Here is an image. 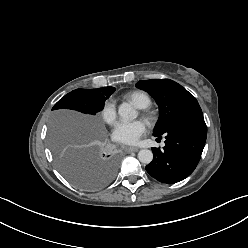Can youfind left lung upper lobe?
<instances>
[{
	"instance_id": "5c2ea615",
	"label": "left lung upper lobe",
	"mask_w": 248,
	"mask_h": 248,
	"mask_svg": "<svg viewBox=\"0 0 248 248\" xmlns=\"http://www.w3.org/2000/svg\"><path fill=\"white\" fill-rule=\"evenodd\" d=\"M136 86L148 92L159 105L160 116L154 129V136L164 134L190 111L200 109L196 98L170 79L142 80Z\"/></svg>"
}]
</instances>
